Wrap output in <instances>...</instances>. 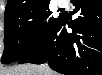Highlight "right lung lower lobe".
<instances>
[{
    "mask_svg": "<svg viewBox=\"0 0 102 75\" xmlns=\"http://www.w3.org/2000/svg\"><path fill=\"white\" fill-rule=\"evenodd\" d=\"M72 4L80 16L69 22L63 14L46 40L19 64L48 62L65 75H102V0H72Z\"/></svg>",
    "mask_w": 102,
    "mask_h": 75,
    "instance_id": "98d812e1",
    "label": "right lung lower lobe"
}]
</instances>
